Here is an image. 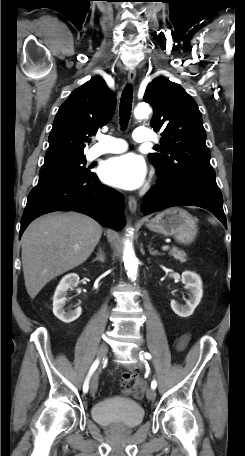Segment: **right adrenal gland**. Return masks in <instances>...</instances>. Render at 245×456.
<instances>
[{
    "label": "right adrenal gland",
    "instance_id": "obj_1",
    "mask_svg": "<svg viewBox=\"0 0 245 456\" xmlns=\"http://www.w3.org/2000/svg\"><path fill=\"white\" fill-rule=\"evenodd\" d=\"M97 260H99L101 262H104V260H105V253L102 250V248H99V250H98V254H97V257L95 258V261H97Z\"/></svg>",
    "mask_w": 245,
    "mask_h": 456
}]
</instances>
